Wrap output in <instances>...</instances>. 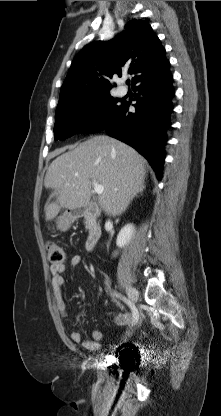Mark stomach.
Returning a JSON list of instances; mask_svg holds the SVG:
<instances>
[{
  "label": "stomach",
  "mask_w": 221,
  "mask_h": 416,
  "mask_svg": "<svg viewBox=\"0 0 221 416\" xmlns=\"http://www.w3.org/2000/svg\"><path fill=\"white\" fill-rule=\"evenodd\" d=\"M75 215L70 212H65L57 219V228L61 231H67L75 219Z\"/></svg>",
  "instance_id": "obj_1"
}]
</instances>
